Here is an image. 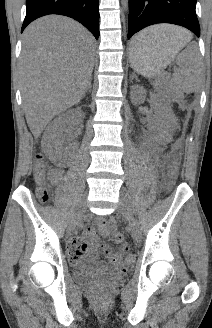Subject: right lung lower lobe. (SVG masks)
<instances>
[{
	"label": "right lung lower lobe",
	"mask_w": 212,
	"mask_h": 328,
	"mask_svg": "<svg viewBox=\"0 0 212 328\" xmlns=\"http://www.w3.org/2000/svg\"><path fill=\"white\" fill-rule=\"evenodd\" d=\"M48 14H61L82 23L99 37L98 0H26V16L21 32L33 20Z\"/></svg>",
	"instance_id": "right-lung-lower-lobe-1"
}]
</instances>
